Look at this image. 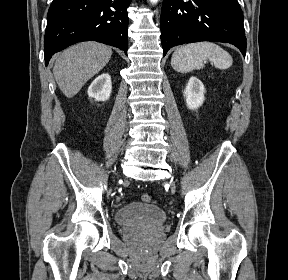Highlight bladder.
<instances>
[{
    "instance_id": "1",
    "label": "bladder",
    "mask_w": 288,
    "mask_h": 280,
    "mask_svg": "<svg viewBox=\"0 0 288 280\" xmlns=\"http://www.w3.org/2000/svg\"><path fill=\"white\" fill-rule=\"evenodd\" d=\"M115 221L127 228L154 230L165 223L166 213L153 204L132 202L116 210Z\"/></svg>"
}]
</instances>
